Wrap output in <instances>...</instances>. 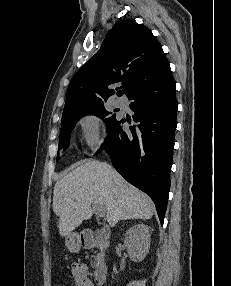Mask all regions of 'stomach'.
Returning a JSON list of instances; mask_svg holds the SVG:
<instances>
[{
  "mask_svg": "<svg viewBox=\"0 0 231 286\" xmlns=\"http://www.w3.org/2000/svg\"><path fill=\"white\" fill-rule=\"evenodd\" d=\"M65 245L70 252L79 251L81 246H80V238L78 234L71 233L69 236H67Z\"/></svg>",
  "mask_w": 231,
  "mask_h": 286,
  "instance_id": "obj_1",
  "label": "stomach"
}]
</instances>
